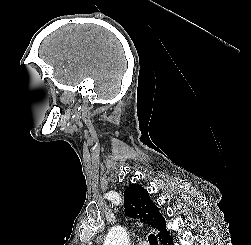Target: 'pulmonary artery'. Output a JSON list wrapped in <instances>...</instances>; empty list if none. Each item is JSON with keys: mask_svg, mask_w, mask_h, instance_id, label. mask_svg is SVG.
I'll list each match as a JSON object with an SVG mask.
<instances>
[{"mask_svg": "<svg viewBox=\"0 0 251 245\" xmlns=\"http://www.w3.org/2000/svg\"><path fill=\"white\" fill-rule=\"evenodd\" d=\"M139 245H147V243L141 242V243H139Z\"/></svg>", "mask_w": 251, "mask_h": 245, "instance_id": "e3ab8cb5", "label": "pulmonary artery"}]
</instances>
